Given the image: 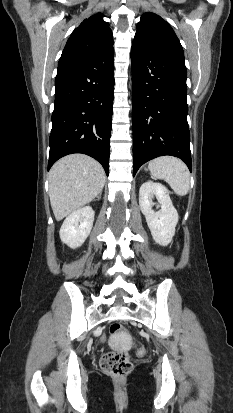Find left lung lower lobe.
I'll return each instance as SVG.
<instances>
[{"instance_id":"obj_1","label":"left lung lower lobe","mask_w":233,"mask_h":413,"mask_svg":"<svg viewBox=\"0 0 233 413\" xmlns=\"http://www.w3.org/2000/svg\"><path fill=\"white\" fill-rule=\"evenodd\" d=\"M131 63L133 176L142 164L163 155L182 159L191 171L184 60L157 48L132 44Z\"/></svg>"}]
</instances>
